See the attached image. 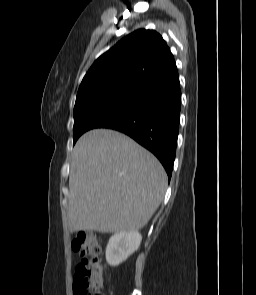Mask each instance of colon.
Listing matches in <instances>:
<instances>
[{
	"label": "colon",
	"instance_id": "obj_1",
	"mask_svg": "<svg viewBox=\"0 0 256 295\" xmlns=\"http://www.w3.org/2000/svg\"><path fill=\"white\" fill-rule=\"evenodd\" d=\"M72 249L81 257L73 278L74 295H102L101 246L92 234L78 232L72 239Z\"/></svg>",
	"mask_w": 256,
	"mask_h": 295
}]
</instances>
